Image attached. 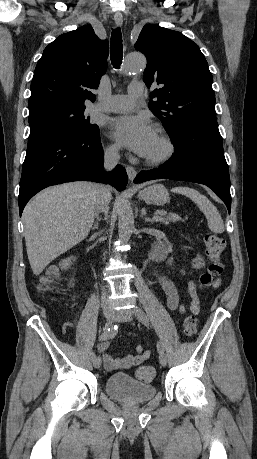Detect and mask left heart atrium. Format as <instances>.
<instances>
[{"instance_id":"obj_1","label":"left heart atrium","mask_w":257,"mask_h":459,"mask_svg":"<svg viewBox=\"0 0 257 459\" xmlns=\"http://www.w3.org/2000/svg\"><path fill=\"white\" fill-rule=\"evenodd\" d=\"M112 136L122 145L146 156L155 137V130L146 116H123L110 123Z\"/></svg>"}]
</instances>
